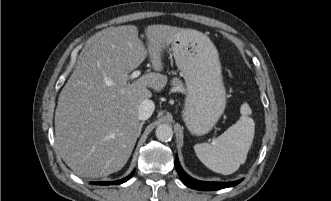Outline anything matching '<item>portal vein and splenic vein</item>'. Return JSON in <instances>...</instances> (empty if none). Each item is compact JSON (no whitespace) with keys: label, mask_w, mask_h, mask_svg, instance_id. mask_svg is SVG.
<instances>
[{"label":"portal vein and splenic vein","mask_w":331,"mask_h":201,"mask_svg":"<svg viewBox=\"0 0 331 201\" xmlns=\"http://www.w3.org/2000/svg\"><path fill=\"white\" fill-rule=\"evenodd\" d=\"M140 74H141V72H140L139 70L134 71V72L129 76V79H135V78H137Z\"/></svg>","instance_id":"portal-vein-and-splenic-vein-1"}]
</instances>
